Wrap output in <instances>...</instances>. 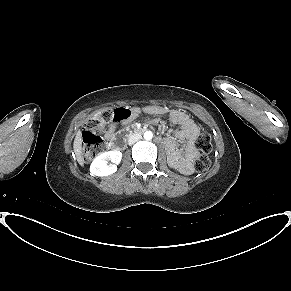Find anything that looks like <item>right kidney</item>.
Instances as JSON below:
<instances>
[{
	"label": "right kidney",
	"mask_w": 291,
	"mask_h": 291,
	"mask_svg": "<svg viewBox=\"0 0 291 291\" xmlns=\"http://www.w3.org/2000/svg\"><path fill=\"white\" fill-rule=\"evenodd\" d=\"M122 153L118 150L108 151L97 156L90 166V172L95 176H108L117 171V164L120 163ZM111 161L112 164H108Z\"/></svg>",
	"instance_id": "obj_1"
}]
</instances>
